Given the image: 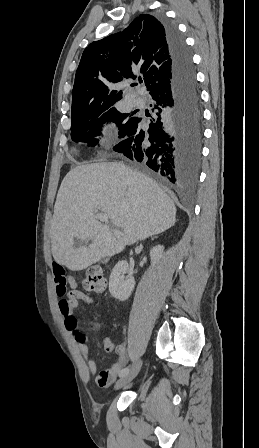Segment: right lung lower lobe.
Returning a JSON list of instances; mask_svg holds the SVG:
<instances>
[{"label":"right lung lower lobe","mask_w":259,"mask_h":448,"mask_svg":"<svg viewBox=\"0 0 259 448\" xmlns=\"http://www.w3.org/2000/svg\"><path fill=\"white\" fill-rule=\"evenodd\" d=\"M172 82L155 101L148 127L144 117H135L113 150L145 163L173 185L196 183L201 162V99L191 53L175 25L164 18ZM152 106V105H151Z\"/></svg>","instance_id":"1"}]
</instances>
